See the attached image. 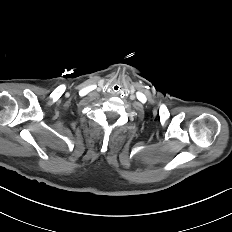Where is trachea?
Instances as JSON below:
<instances>
[{
    "mask_svg": "<svg viewBox=\"0 0 232 232\" xmlns=\"http://www.w3.org/2000/svg\"><path fill=\"white\" fill-rule=\"evenodd\" d=\"M111 89H112L113 92L118 93V92L121 91V85L118 84V83H116V84H114V85L112 86Z\"/></svg>",
    "mask_w": 232,
    "mask_h": 232,
    "instance_id": "obj_1",
    "label": "trachea"
}]
</instances>
